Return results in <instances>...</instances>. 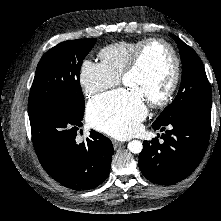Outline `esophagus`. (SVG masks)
<instances>
[{
	"label": "esophagus",
	"instance_id": "obj_1",
	"mask_svg": "<svg viewBox=\"0 0 221 221\" xmlns=\"http://www.w3.org/2000/svg\"><path fill=\"white\" fill-rule=\"evenodd\" d=\"M112 144H113V147L115 149H117L119 146H121L123 144L122 141H118V140H115V139H112Z\"/></svg>",
	"mask_w": 221,
	"mask_h": 221
}]
</instances>
